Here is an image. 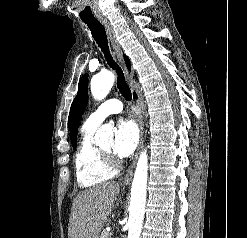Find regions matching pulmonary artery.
Wrapping results in <instances>:
<instances>
[{
  "instance_id": "1",
  "label": "pulmonary artery",
  "mask_w": 247,
  "mask_h": 238,
  "mask_svg": "<svg viewBox=\"0 0 247 238\" xmlns=\"http://www.w3.org/2000/svg\"><path fill=\"white\" fill-rule=\"evenodd\" d=\"M122 110L123 104L119 99H109L88 116L84 125L97 128L107 116L120 113Z\"/></svg>"
}]
</instances>
